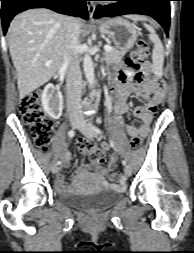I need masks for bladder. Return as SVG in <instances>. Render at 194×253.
<instances>
[{
    "mask_svg": "<svg viewBox=\"0 0 194 253\" xmlns=\"http://www.w3.org/2000/svg\"><path fill=\"white\" fill-rule=\"evenodd\" d=\"M123 190L116 186L107 185L94 191H72L60 195L59 199L65 204L90 212L101 211L120 201Z\"/></svg>",
    "mask_w": 194,
    "mask_h": 253,
    "instance_id": "bladder-1",
    "label": "bladder"
}]
</instances>
